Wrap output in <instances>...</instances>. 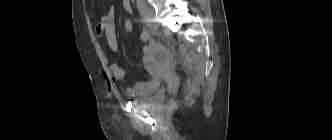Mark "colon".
Listing matches in <instances>:
<instances>
[{"label": "colon", "mask_w": 332, "mask_h": 140, "mask_svg": "<svg viewBox=\"0 0 332 140\" xmlns=\"http://www.w3.org/2000/svg\"><path fill=\"white\" fill-rule=\"evenodd\" d=\"M123 30L126 34H132V32L134 30V25H133L132 21H130V20L124 21Z\"/></svg>", "instance_id": "obj_1"}]
</instances>
